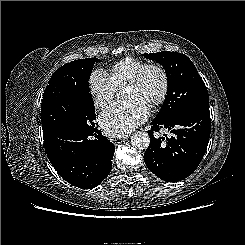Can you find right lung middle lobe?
Returning <instances> with one entry per match:
<instances>
[{
  "label": "right lung middle lobe",
  "instance_id": "right-lung-middle-lobe-1",
  "mask_svg": "<svg viewBox=\"0 0 245 245\" xmlns=\"http://www.w3.org/2000/svg\"><path fill=\"white\" fill-rule=\"evenodd\" d=\"M98 58L72 61L62 66V87L56 108L41 117L42 126L88 128L96 119L89 89V77Z\"/></svg>",
  "mask_w": 245,
  "mask_h": 245
}]
</instances>
